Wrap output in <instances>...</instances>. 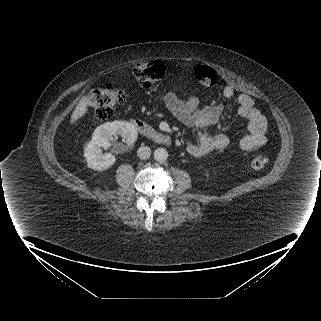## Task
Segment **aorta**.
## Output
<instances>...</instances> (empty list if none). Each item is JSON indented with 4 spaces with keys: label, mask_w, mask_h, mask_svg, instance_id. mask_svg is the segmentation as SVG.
Masks as SVG:
<instances>
[{
    "label": "aorta",
    "mask_w": 321,
    "mask_h": 321,
    "mask_svg": "<svg viewBox=\"0 0 321 321\" xmlns=\"http://www.w3.org/2000/svg\"><path fill=\"white\" fill-rule=\"evenodd\" d=\"M168 158V152L165 148H157L154 151V159L158 162H164Z\"/></svg>",
    "instance_id": "762f6f07"
}]
</instances>
